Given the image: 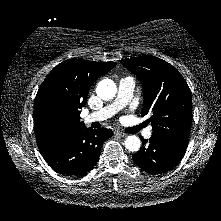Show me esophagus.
Segmentation results:
<instances>
[{"label": "esophagus", "mask_w": 221, "mask_h": 221, "mask_svg": "<svg viewBox=\"0 0 221 221\" xmlns=\"http://www.w3.org/2000/svg\"><path fill=\"white\" fill-rule=\"evenodd\" d=\"M114 134L119 137H126L127 134L121 131H115Z\"/></svg>", "instance_id": "obj_1"}]
</instances>
